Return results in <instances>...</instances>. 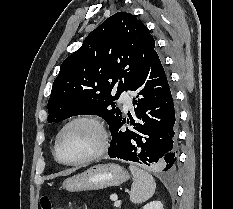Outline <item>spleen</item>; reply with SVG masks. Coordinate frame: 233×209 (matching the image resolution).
Here are the masks:
<instances>
[{"label":"spleen","instance_id":"spleen-1","mask_svg":"<svg viewBox=\"0 0 233 209\" xmlns=\"http://www.w3.org/2000/svg\"><path fill=\"white\" fill-rule=\"evenodd\" d=\"M129 169L134 177L130 191V201L139 204L150 199L156 189V183L152 175L140 168L130 165Z\"/></svg>","mask_w":233,"mask_h":209}]
</instances>
